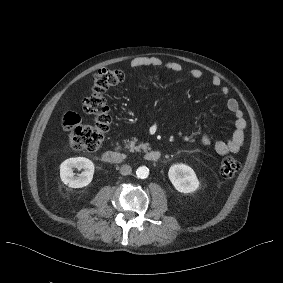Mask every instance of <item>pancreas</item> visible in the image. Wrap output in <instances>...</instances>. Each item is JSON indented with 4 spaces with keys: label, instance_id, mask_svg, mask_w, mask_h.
<instances>
[{
    "label": "pancreas",
    "instance_id": "1",
    "mask_svg": "<svg viewBox=\"0 0 283 283\" xmlns=\"http://www.w3.org/2000/svg\"><path fill=\"white\" fill-rule=\"evenodd\" d=\"M137 139L133 138L126 146L125 149H129L130 152H140V150H143L144 152H147L150 149L149 144H140L138 146H135Z\"/></svg>",
    "mask_w": 283,
    "mask_h": 283
}]
</instances>
